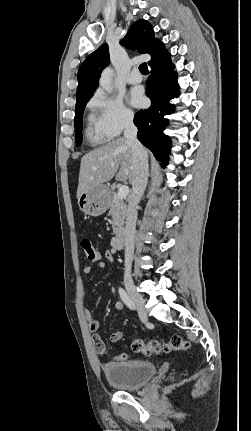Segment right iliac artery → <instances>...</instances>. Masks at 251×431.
<instances>
[{
	"label": "right iliac artery",
	"instance_id": "82829eb1",
	"mask_svg": "<svg viewBox=\"0 0 251 431\" xmlns=\"http://www.w3.org/2000/svg\"><path fill=\"white\" fill-rule=\"evenodd\" d=\"M119 295H120V297H121L122 301L125 303V305H126L128 308H130V309H132V310H134V309H135V304H134V302L132 301V299L130 298V296L127 294V292H126L124 289L119 288Z\"/></svg>",
	"mask_w": 251,
	"mask_h": 431
}]
</instances>
